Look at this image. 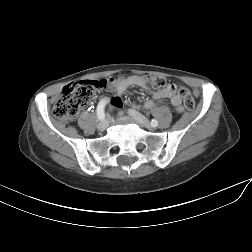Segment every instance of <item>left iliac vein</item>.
Instances as JSON below:
<instances>
[{"label":"left iliac vein","instance_id":"obj_1","mask_svg":"<svg viewBox=\"0 0 252 252\" xmlns=\"http://www.w3.org/2000/svg\"><path fill=\"white\" fill-rule=\"evenodd\" d=\"M128 114L131 117H133L138 124H140L146 128H150V123H149L148 119L146 117H144L142 114H140L139 112H137L133 109H130V110H128Z\"/></svg>","mask_w":252,"mask_h":252}]
</instances>
